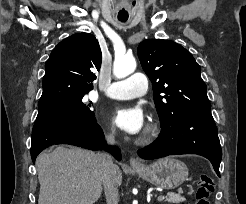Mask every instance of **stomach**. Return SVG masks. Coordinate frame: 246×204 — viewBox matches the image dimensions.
<instances>
[{
  "label": "stomach",
  "mask_w": 246,
  "mask_h": 204,
  "mask_svg": "<svg viewBox=\"0 0 246 204\" xmlns=\"http://www.w3.org/2000/svg\"><path fill=\"white\" fill-rule=\"evenodd\" d=\"M134 171L142 179L164 189L177 188L188 177L185 163L172 157L159 159L142 168H134Z\"/></svg>",
  "instance_id": "0dacf381"
}]
</instances>
